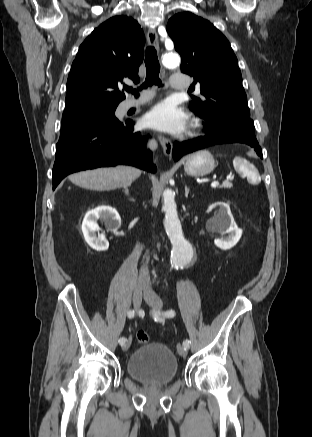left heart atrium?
<instances>
[{"label": "left heart atrium", "instance_id": "1", "mask_svg": "<svg viewBox=\"0 0 312 437\" xmlns=\"http://www.w3.org/2000/svg\"><path fill=\"white\" fill-rule=\"evenodd\" d=\"M145 122L152 128L170 133L183 131L188 123L187 114L171 101L154 106L145 116Z\"/></svg>", "mask_w": 312, "mask_h": 437}]
</instances>
